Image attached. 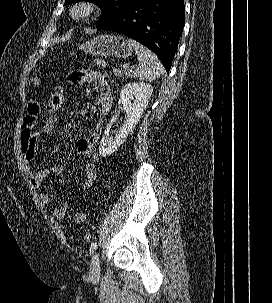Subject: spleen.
<instances>
[{
  "mask_svg": "<svg viewBox=\"0 0 272 303\" xmlns=\"http://www.w3.org/2000/svg\"><path fill=\"white\" fill-rule=\"evenodd\" d=\"M128 43L135 50L139 62L138 67L133 72L134 77L152 81L164 73V67L154 53L132 39H129Z\"/></svg>",
  "mask_w": 272,
  "mask_h": 303,
  "instance_id": "3e777b00",
  "label": "spleen"
}]
</instances>
